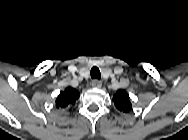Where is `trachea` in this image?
<instances>
[{"mask_svg": "<svg viewBox=\"0 0 188 140\" xmlns=\"http://www.w3.org/2000/svg\"><path fill=\"white\" fill-rule=\"evenodd\" d=\"M90 75L92 79H100L101 78V73L99 68L93 67L90 71Z\"/></svg>", "mask_w": 188, "mask_h": 140, "instance_id": "trachea-1", "label": "trachea"}]
</instances>
